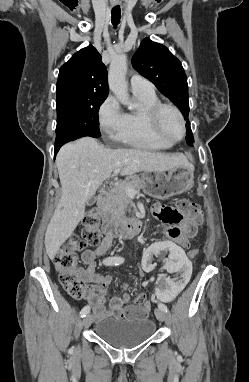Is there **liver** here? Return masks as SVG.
<instances>
[{"mask_svg": "<svg viewBox=\"0 0 249 382\" xmlns=\"http://www.w3.org/2000/svg\"><path fill=\"white\" fill-rule=\"evenodd\" d=\"M56 165L62 195L45 233V248L51 260L84 217L88 199L115 169L124 176L140 171L164 172L178 166L193 168L183 154L110 149L91 137L65 144L57 154Z\"/></svg>", "mask_w": 249, "mask_h": 382, "instance_id": "6515ba94", "label": "liver"}]
</instances>
